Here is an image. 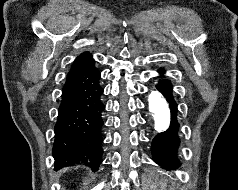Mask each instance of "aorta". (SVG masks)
Returning a JSON list of instances; mask_svg holds the SVG:
<instances>
[{
    "label": "aorta",
    "instance_id": "762f6f07",
    "mask_svg": "<svg viewBox=\"0 0 238 190\" xmlns=\"http://www.w3.org/2000/svg\"><path fill=\"white\" fill-rule=\"evenodd\" d=\"M149 110L154 119L157 131H164L170 125L171 110L167 100L157 90L151 91L148 96Z\"/></svg>",
    "mask_w": 238,
    "mask_h": 190
}]
</instances>
